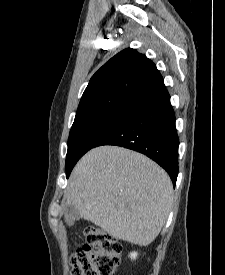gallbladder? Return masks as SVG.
Wrapping results in <instances>:
<instances>
[{"label":"gallbladder","mask_w":225,"mask_h":275,"mask_svg":"<svg viewBox=\"0 0 225 275\" xmlns=\"http://www.w3.org/2000/svg\"><path fill=\"white\" fill-rule=\"evenodd\" d=\"M66 222L73 224L75 221L80 220L81 216L74 205H68L64 211Z\"/></svg>","instance_id":"gallbladder-1"}]
</instances>
